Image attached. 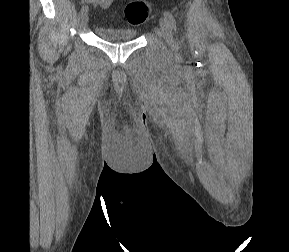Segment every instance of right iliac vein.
<instances>
[{"label":"right iliac vein","mask_w":289,"mask_h":252,"mask_svg":"<svg viewBox=\"0 0 289 252\" xmlns=\"http://www.w3.org/2000/svg\"><path fill=\"white\" fill-rule=\"evenodd\" d=\"M88 14L87 12H81L79 15V23L81 27H84L88 23Z\"/></svg>","instance_id":"1"}]
</instances>
